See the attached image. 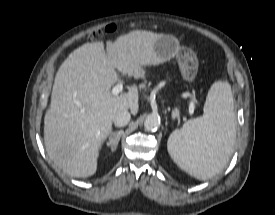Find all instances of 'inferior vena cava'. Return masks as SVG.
<instances>
[{"label": "inferior vena cava", "instance_id": "inferior-vena-cava-1", "mask_svg": "<svg viewBox=\"0 0 275 215\" xmlns=\"http://www.w3.org/2000/svg\"><path fill=\"white\" fill-rule=\"evenodd\" d=\"M130 118H131L130 113L127 110H123V111L118 112L114 116L113 122H114L115 126L123 127L129 123Z\"/></svg>", "mask_w": 275, "mask_h": 215}]
</instances>
